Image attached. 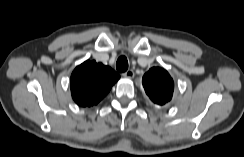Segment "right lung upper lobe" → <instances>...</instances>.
Masks as SVG:
<instances>
[{
    "label": "right lung upper lobe",
    "instance_id": "right-lung-upper-lobe-1",
    "mask_svg": "<svg viewBox=\"0 0 244 157\" xmlns=\"http://www.w3.org/2000/svg\"><path fill=\"white\" fill-rule=\"evenodd\" d=\"M119 78L109 66L87 60L71 75L72 98L79 106H93L107 95Z\"/></svg>",
    "mask_w": 244,
    "mask_h": 157
}]
</instances>
